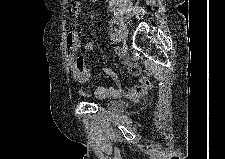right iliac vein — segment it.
I'll return each mask as SVG.
<instances>
[{"instance_id": "1", "label": "right iliac vein", "mask_w": 225, "mask_h": 159, "mask_svg": "<svg viewBox=\"0 0 225 159\" xmlns=\"http://www.w3.org/2000/svg\"><path fill=\"white\" fill-rule=\"evenodd\" d=\"M118 35H119V38L121 40H123V41H126L127 40L128 31H127V28L124 25H120L119 26Z\"/></svg>"}]
</instances>
